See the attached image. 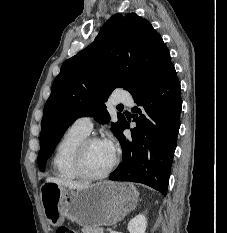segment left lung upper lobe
<instances>
[{
  "instance_id": "left-lung-upper-lobe-1",
  "label": "left lung upper lobe",
  "mask_w": 227,
  "mask_h": 233,
  "mask_svg": "<svg viewBox=\"0 0 227 233\" xmlns=\"http://www.w3.org/2000/svg\"><path fill=\"white\" fill-rule=\"evenodd\" d=\"M172 65L162 37L147 20L135 13L112 16L87 48L63 63L53 82L41 122L40 170H45L47 159L77 118L89 115L100 123L110 121L104 102L112 90L143 93ZM118 119L111 123L116 137L126 121L121 114Z\"/></svg>"
}]
</instances>
